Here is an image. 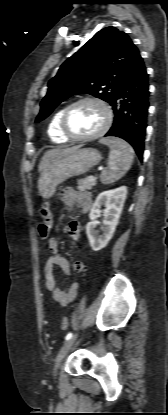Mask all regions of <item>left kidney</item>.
I'll use <instances>...</instances> for the list:
<instances>
[{"label":"left kidney","mask_w":168,"mask_h":415,"mask_svg":"<svg viewBox=\"0 0 168 415\" xmlns=\"http://www.w3.org/2000/svg\"><path fill=\"white\" fill-rule=\"evenodd\" d=\"M127 188L125 186L101 192L89 214L90 222L86 225V234L91 248L99 251L104 248L112 238L116 226L118 224L124 202L126 200ZM104 206V220L102 227V235H98L95 231L97 225L96 219L101 216L100 208Z\"/></svg>","instance_id":"5707ae66"}]
</instances>
